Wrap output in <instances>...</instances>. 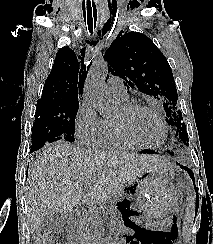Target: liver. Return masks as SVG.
I'll return each mask as SVG.
<instances>
[{
	"label": "liver",
	"instance_id": "6515ba94",
	"mask_svg": "<svg viewBox=\"0 0 213 244\" xmlns=\"http://www.w3.org/2000/svg\"><path fill=\"white\" fill-rule=\"evenodd\" d=\"M164 157L136 153L91 151L64 141L46 146L28 173V217L31 232L48 211L68 215L82 201L100 204L151 171L167 168ZM89 192L83 194V186Z\"/></svg>",
	"mask_w": 213,
	"mask_h": 244
}]
</instances>
